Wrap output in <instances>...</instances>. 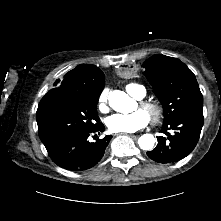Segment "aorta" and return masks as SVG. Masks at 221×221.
<instances>
[{"label":"aorta","mask_w":221,"mask_h":221,"mask_svg":"<svg viewBox=\"0 0 221 221\" xmlns=\"http://www.w3.org/2000/svg\"><path fill=\"white\" fill-rule=\"evenodd\" d=\"M108 99L110 107L117 112L128 113L133 109L134 100L123 91H112ZM155 142V137L152 134H143L138 139L139 147L143 150H152Z\"/></svg>","instance_id":"1"}]
</instances>
